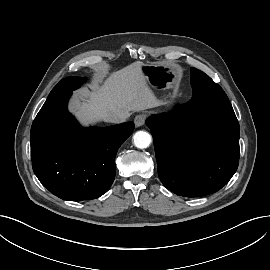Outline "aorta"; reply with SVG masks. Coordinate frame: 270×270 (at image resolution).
I'll return each instance as SVG.
<instances>
[{
	"label": "aorta",
	"mask_w": 270,
	"mask_h": 270,
	"mask_svg": "<svg viewBox=\"0 0 270 270\" xmlns=\"http://www.w3.org/2000/svg\"><path fill=\"white\" fill-rule=\"evenodd\" d=\"M151 141V135L146 131H137L133 135L134 145L139 149H145L149 147Z\"/></svg>",
	"instance_id": "762f6f07"
}]
</instances>
